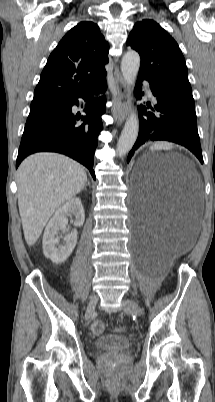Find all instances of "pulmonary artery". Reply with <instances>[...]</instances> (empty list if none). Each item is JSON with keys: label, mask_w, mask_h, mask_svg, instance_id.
Segmentation results:
<instances>
[{"label": "pulmonary artery", "mask_w": 215, "mask_h": 402, "mask_svg": "<svg viewBox=\"0 0 215 402\" xmlns=\"http://www.w3.org/2000/svg\"><path fill=\"white\" fill-rule=\"evenodd\" d=\"M148 94H149V96H152V92L150 89H148Z\"/></svg>", "instance_id": "obj_1"}]
</instances>
